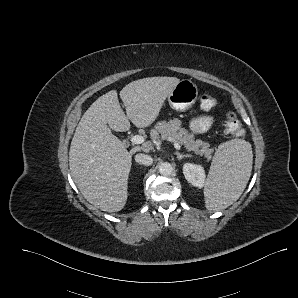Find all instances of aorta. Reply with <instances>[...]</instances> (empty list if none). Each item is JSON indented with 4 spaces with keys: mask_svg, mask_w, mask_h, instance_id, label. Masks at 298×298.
<instances>
[{
    "mask_svg": "<svg viewBox=\"0 0 298 298\" xmlns=\"http://www.w3.org/2000/svg\"><path fill=\"white\" fill-rule=\"evenodd\" d=\"M173 169V165L167 161L161 162L158 166V172L164 176L172 174Z\"/></svg>",
    "mask_w": 298,
    "mask_h": 298,
    "instance_id": "762f6f07",
    "label": "aorta"
}]
</instances>
